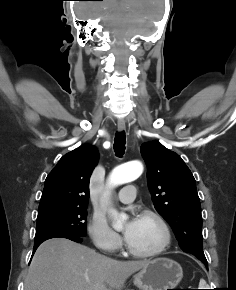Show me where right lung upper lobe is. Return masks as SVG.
I'll list each match as a JSON object with an SVG mask.
<instances>
[{
  "label": "right lung upper lobe",
  "mask_w": 236,
  "mask_h": 290,
  "mask_svg": "<svg viewBox=\"0 0 236 290\" xmlns=\"http://www.w3.org/2000/svg\"><path fill=\"white\" fill-rule=\"evenodd\" d=\"M98 151L83 145L64 155L45 180L39 209L50 206H87L90 176Z\"/></svg>",
  "instance_id": "right-lung-upper-lobe-1"
}]
</instances>
